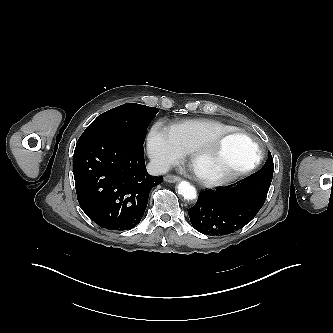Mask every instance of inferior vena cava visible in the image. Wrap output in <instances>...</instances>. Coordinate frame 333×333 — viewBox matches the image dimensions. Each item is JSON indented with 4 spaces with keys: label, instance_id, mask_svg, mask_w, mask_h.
Wrapping results in <instances>:
<instances>
[{
    "label": "inferior vena cava",
    "instance_id": "1",
    "mask_svg": "<svg viewBox=\"0 0 333 333\" xmlns=\"http://www.w3.org/2000/svg\"><path fill=\"white\" fill-rule=\"evenodd\" d=\"M170 164L162 159L153 158L147 165V171L151 175H161L169 171Z\"/></svg>",
    "mask_w": 333,
    "mask_h": 333
}]
</instances>
